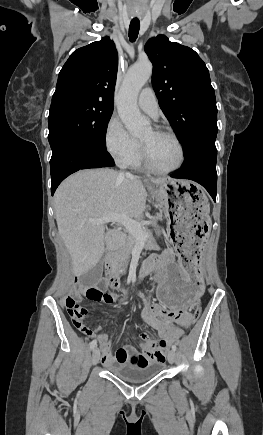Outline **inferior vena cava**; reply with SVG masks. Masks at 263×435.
<instances>
[{"label": "inferior vena cava", "mask_w": 263, "mask_h": 435, "mask_svg": "<svg viewBox=\"0 0 263 435\" xmlns=\"http://www.w3.org/2000/svg\"><path fill=\"white\" fill-rule=\"evenodd\" d=\"M121 175H124V172H120Z\"/></svg>", "instance_id": "obj_1"}]
</instances>
